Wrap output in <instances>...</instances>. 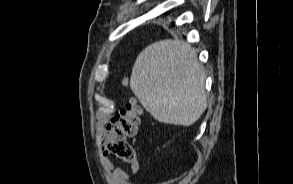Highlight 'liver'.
<instances>
[{"label": "liver", "instance_id": "obj_1", "mask_svg": "<svg viewBox=\"0 0 293 184\" xmlns=\"http://www.w3.org/2000/svg\"><path fill=\"white\" fill-rule=\"evenodd\" d=\"M205 73L184 41L166 39L146 47L137 57L130 88L159 122L190 126L207 107Z\"/></svg>", "mask_w": 293, "mask_h": 184}]
</instances>
